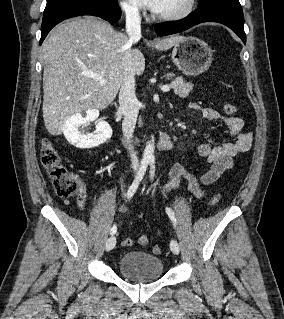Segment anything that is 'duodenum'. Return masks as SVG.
<instances>
[{"label": "duodenum", "mask_w": 284, "mask_h": 319, "mask_svg": "<svg viewBox=\"0 0 284 319\" xmlns=\"http://www.w3.org/2000/svg\"><path fill=\"white\" fill-rule=\"evenodd\" d=\"M125 143L128 145H133L137 142H139V138L138 137H127L125 138ZM157 148L159 150H169L172 148L173 146V139L172 136L169 133H163L157 144H156Z\"/></svg>", "instance_id": "410a0bca"}]
</instances>
